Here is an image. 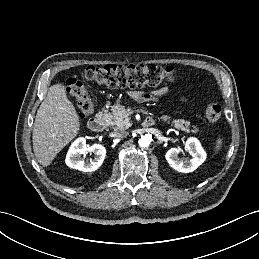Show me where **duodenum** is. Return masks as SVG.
I'll return each instance as SVG.
<instances>
[{"label":"duodenum","instance_id":"1","mask_svg":"<svg viewBox=\"0 0 259 259\" xmlns=\"http://www.w3.org/2000/svg\"><path fill=\"white\" fill-rule=\"evenodd\" d=\"M146 124L150 123V120L147 119L145 121ZM108 125V119L105 115H97L93 118H91L88 122V126L90 128V130L94 131V132H101L104 129H106Z\"/></svg>","mask_w":259,"mask_h":259}]
</instances>
